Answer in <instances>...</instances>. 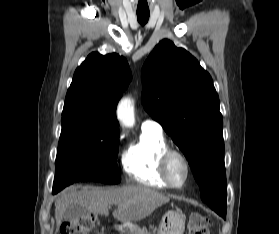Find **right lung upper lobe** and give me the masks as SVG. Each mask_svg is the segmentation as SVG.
Wrapping results in <instances>:
<instances>
[{
	"mask_svg": "<svg viewBox=\"0 0 279 234\" xmlns=\"http://www.w3.org/2000/svg\"><path fill=\"white\" fill-rule=\"evenodd\" d=\"M131 79L124 57L91 53L74 73L62 118H84L100 130L119 131L116 106Z\"/></svg>",
	"mask_w": 279,
	"mask_h": 234,
	"instance_id": "cb5924a9",
	"label": "right lung upper lobe"
}]
</instances>
